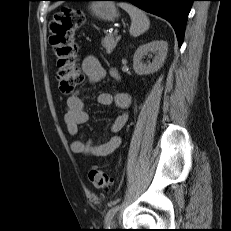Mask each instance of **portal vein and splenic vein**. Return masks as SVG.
Masks as SVG:
<instances>
[{"label": "portal vein and splenic vein", "instance_id": "18ae733b", "mask_svg": "<svg viewBox=\"0 0 231 231\" xmlns=\"http://www.w3.org/2000/svg\"><path fill=\"white\" fill-rule=\"evenodd\" d=\"M115 34H117L118 33V31L117 30H115V32H114Z\"/></svg>", "mask_w": 231, "mask_h": 231}]
</instances>
